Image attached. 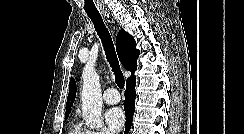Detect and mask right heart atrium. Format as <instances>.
I'll return each instance as SVG.
<instances>
[{
    "label": "right heart atrium",
    "mask_w": 244,
    "mask_h": 134,
    "mask_svg": "<svg viewBox=\"0 0 244 134\" xmlns=\"http://www.w3.org/2000/svg\"><path fill=\"white\" fill-rule=\"evenodd\" d=\"M91 132H92L91 134H111L109 131H107L105 129L91 131Z\"/></svg>",
    "instance_id": "d8ad5b80"
}]
</instances>
